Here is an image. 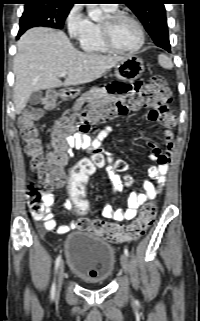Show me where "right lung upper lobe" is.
<instances>
[{"mask_svg": "<svg viewBox=\"0 0 200 321\" xmlns=\"http://www.w3.org/2000/svg\"><path fill=\"white\" fill-rule=\"evenodd\" d=\"M77 0H24L25 4L29 2H54L57 5L72 7Z\"/></svg>", "mask_w": 200, "mask_h": 321, "instance_id": "1", "label": "right lung upper lobe"}]
</instances>
